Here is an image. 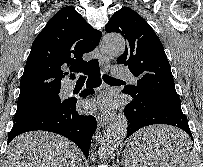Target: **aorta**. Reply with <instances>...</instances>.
Returning a JSON list of instances; mask_svg holds the SVG:
<instances>
[{
    "instance_id": "aorta-1",
    "label": "aorta",
    "mask_w": 203,
    "mask_h": 167,
    "mask_svg": "<svg viewBox=\"0 0 203 167\" xmlns=\"http://www.w3.org/2000/svg\"><path fill=\"white\" fill-rule=\"evenodd\" d=\"M125 40L121 35L108 34L104 37L102 47L111 56H120L125 50ZM128 122L124 115H118L105 132L99 155L106 158L111 155L127 135Z\"/></svg>"
}]
</instances>
